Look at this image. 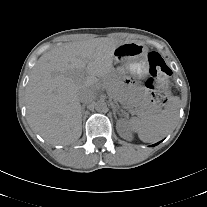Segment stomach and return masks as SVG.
Wrapping results in <instances>:
<instances>
[{"mask_svg":"<svg viewBox=\"0 0 207 207\" xmlns=\"http://www.w3.org/2000/svg\"><path fill=\"white\" fill-rule=\"evenodd\" d=\"M114 60L123 65L125 70L138 78L148 74L147 48L137 42L120 44L114 52ZM120 91L117 99L125 105H133L142 100V94L125 89L118 81Z\"/></svg>","mask_w":207,"mask_h":207,"instance_id":"stomach-1","label":"stomach"}]
</instances>
